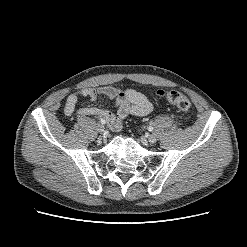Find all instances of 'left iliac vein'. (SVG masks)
Masks as SVG:
<instances>
[{
	"instance_id": "obj_1",
	"label": "left iliac vein",
	"mask_w": 247,
	"mask_h": 247,
	"mask_svg": "<svg viewBox=\"0 0 247 247\" xmlns=\"http://www.w3.org/2000/svg\"><path fill=\"white\" fill-rule=\"evenodd\" d=\"M147 140L151 144H154L157 141V139H156V137L154 135L147 136Z\"/></svg>"
}]
</instances>
